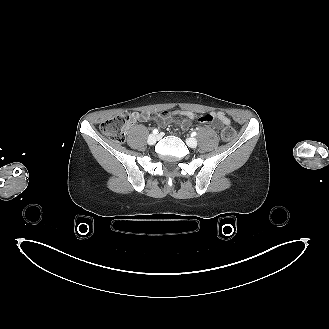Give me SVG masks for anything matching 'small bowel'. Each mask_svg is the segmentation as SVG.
<instances>
[{"label":"small bowel","mask_w":329,"mask_h":329,"mask_svg":"<svg viewBox=\"0 0 329 329\" xmlns=\"http://www.w3.org/2000/svg\"><path fill=\"white\" fill-rule=\"evenodd\" d=\"M136 119H140L145 121L148 119V115L146 114H133ZM158 119H161L162 122L170 120L172 118H177L180 125L183 128H188L191 126L192 121L197 118L196 114L190 111H184L178 108H171L159 111L155 114ZM199 120L205 124H213L217 126L218 123L223 124L225 126L230 125V119L223 112H210L208 114L202 115Z\"/></svg>","instance_id":"obj_1"}]
</instances>
